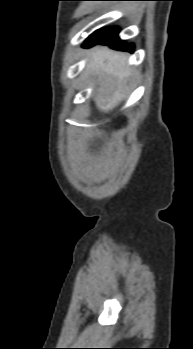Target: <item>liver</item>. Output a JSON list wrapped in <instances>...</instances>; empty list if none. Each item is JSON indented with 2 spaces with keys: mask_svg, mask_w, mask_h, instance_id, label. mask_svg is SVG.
<instances>
[{
  "mask_svg": "<svg viewBox=\"0 0 193 349\" xmlns=\"http://www.w3.org/2000/svg\"><path fill=\"white\" fill-rule=\"evenodd\" d=\"M86 72L97 78L94 101L98 109L108 113L126 97L125 91L133 70L126 65L127 55L104 46L91 49Z\"/></svg>",
  "mask_w": 193,
  "mask_h": 349,
  "instance_id": "1",
  "label": "liver"
}]
</instances>
